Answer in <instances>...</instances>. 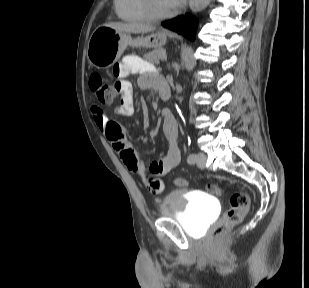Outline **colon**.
<instances>
[{"instance_id": "1", "label": "colon", "mask_w": 309, "mask_h": 288, "mask_svg": "<svg viewBox=\"0 0 309 288\" xmlns=\"http://www.w3.org/2000/svg\"><path fill=\"white\" fill-rule=\"evenodd\" d=\"M88 84L94 96L103 103L110 102L115 96V91L111 89L108 83L103 79L99 73H91L88 78ZM174 183L180 187H186L188 182L185 178L178 177ZM150 190V187H148ZM208 190L220 195L221 189L213 184L208 185ZM151 191V190H150ZM153 193V192H152ZM156 194V193H155ZM250 205V198L245 192H235L230 196L229 207L224 213L222 219L217 223L212 232L214 239H219L224 236L231 227L240 223L246 215Z\"/></svg>"}]
</instances>
